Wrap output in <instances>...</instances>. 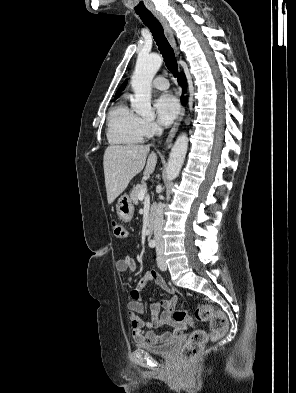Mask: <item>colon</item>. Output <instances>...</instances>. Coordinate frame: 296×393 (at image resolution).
I'll use <instances>...</instances> for the list:
<instances>
[{"mask_svg": "<svg viewBox=\"0 0 296 393\" xmlns=\"http://www.w3.org/2000/svg\"><path fill=\"white\" fill-rule=\"evenodd\" d=\"M113 232L118 239L127 237L126 228L117 222H113ZM196 317L201 321L210 323V334L202 330H196L190 335L181 350V358L188 366L201 354L209 339L223 336L228 328L226 316L214 304L199 306L196 310ZM171 319L176 323L193 325L191 316L183 308L174 309L171 313Z\"/></svg>", "mask_w": 296, "mask_h": 393, "instance_id": "obj_1", "label": "colon"}]
</instances>
